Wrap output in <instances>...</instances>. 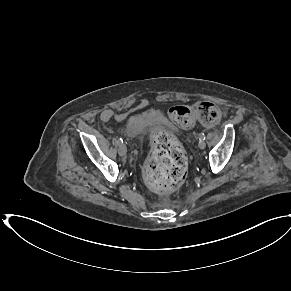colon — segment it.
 I'll use <instances>...</instances> for the list:
<instances>
[{"instance_id":"colon-1","label":"colon","mask_w":291,"mask_h":291,"mask_svg":"<svg viewBox=\"0 0 291 291\" xmlns=\"http://www.w3.org/2000/svg\"><path fill=\"white\" fill-rule=\"evenodd\" d=\"M170 119L183 128L196 121L212 126L220 119L219 108L211 102L176 105L168 111ZM187 156L181 145L166 131L153 138V151L144 168L147 186L154 191L169 192L178 188L187 175Z\"/></svg>"}]
</instances>
